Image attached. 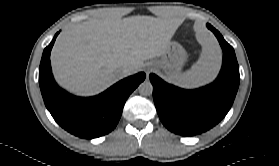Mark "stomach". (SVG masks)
<instances>
[{
	"mask_svg": "<svg viewBox=\"0 0 279 166\" xmlns=\"http://www.w3.org/2000/svg\"><path fill=\"white\" fill-rule=\"evenodd\" d=\"M187 60L185 49L177 42L171 41L162 55H160L155 64L157 68L162 69L169 79L173 80L179 74L184 63Z\"/></svg>",
	"mask_w": 279,
	"mask_h": 166,
	"instance_id": "1",
	"label": "stomach"
}]
</instances>
